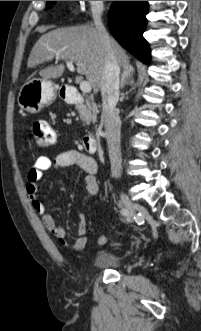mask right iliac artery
Instances as JSON below:
<instances>
[{"instance_id":"82829eb1","label":"right iliac artery","mask_w":201,"mask_h":331,"mask_svg":"<svg viewBox=\"0 0 201 331\" xmlns=\"http://www.w3.org/2000/svg\"><path fill=\"white\" fill-rule=\"evenodd\" d=\"M126 213H127V211H126L125 209H122V210H121V214H122V215H126Z\"/></svg>"}]
</instances>
